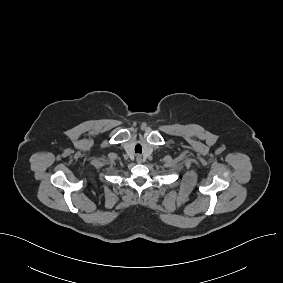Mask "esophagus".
<instances>
[{"label": "esophagus", "instance_id": "esophagus-1", "mask_svg": "<svg viewBox=\"0 0 283 283\" xmlns=\"http://www.w3.org/2000/svg\"><path fill=\"white\" fill-rule=\"evenodd\" d=\"M137 163H142V156L140 154L136 155Z\"/></svg>", "mask_w": 283, "mask_h": 283}]
</instances>
